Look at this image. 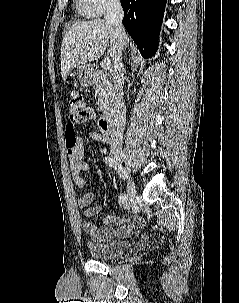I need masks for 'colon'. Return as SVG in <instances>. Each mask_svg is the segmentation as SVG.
<instances>
[{"mask_svg": "<svg viewBox=\"0 0 239 303\" xmlns=\"http://www.w3.org/2000/svg\"><path fill=\"white\" fill-rule=\"evenodd\" d=\"M91 110L88 102L79 94H72L69 99V125L89 116Z\"/></svg>", "mask_w": 239, "mask_h": 303, "instance_id": "5ec220e1", "label": "colon"}]
</instances>
